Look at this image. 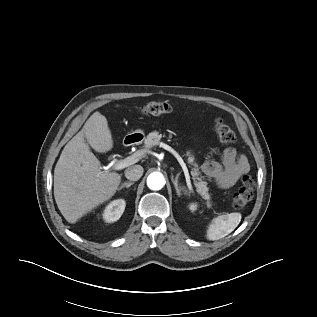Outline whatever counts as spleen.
Masks as SVG:
<instances>
[{
  "mask_svg": "<svg viewBox=\"0 0 317 317\" xmlns=\"http://www.w3.org/2000/svg\"><path fill=\"white\" fill-rule=\"evenodd\" d=\"M238 212L226 213L212 219L206 231V238L211 241L219 240L233 232L241 221Z\"/></svg>",
  "mask_w": 317,
  "mask_h": 317,
  "instance_id": "obj_1",
  "label": "spleen"
}]
</instances>
